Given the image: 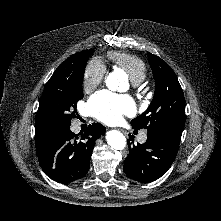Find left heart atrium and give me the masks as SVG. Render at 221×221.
I'll use <instances>...</instances> for the list:
<instances>
[{"label":"left heart atrium","mask_w":221,"mask_h":221,"mask_svg":"<svg viewBox=\"0 0 221 221\" xmlns=\"http://www.w3.org/2000/svg\"><path fill=\"white\" fill-rule=\"evenodd\" d=\"M88 109L99 121L115 124L120 122L124 115L134 114L136 107L129 96L102 90L90 98Z\"/></svg>","instance_id":"39dd6f15"}]
</instances>
